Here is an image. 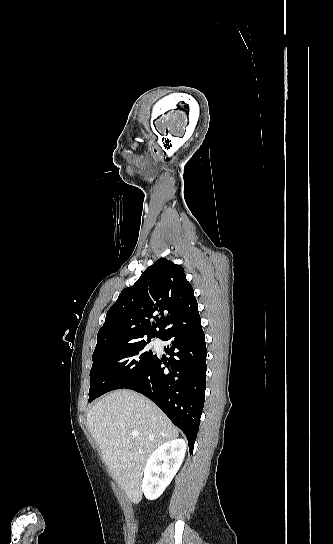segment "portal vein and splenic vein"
<instances>
[{"instance_id": "18ae733b", "label": "portal vein and splenic vein", "mask_w": 333, "mask_h": 544, "mask_svg": "<svg viewBox=\"0 0 333 544\" xmlns=\"http://www.w3.org/2000/svg\"><path fill=\"white\" fill-rule=\"evenodd\" d=\"M132 435L136 437L139 435V433L137 431H132Z\"/></svg>"}]
</instances>
